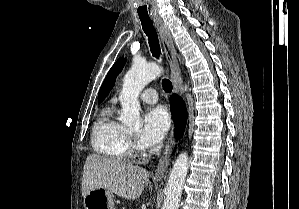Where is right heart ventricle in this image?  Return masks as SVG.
I'll list each match as a JSON object with an SVG mask.
<instances>
[{"mask_svg": "<svg viewBox=\"0 0 299 209\" xmlns=\"http://www.w3.org/2000/svg\"><path fill=\"white\" fill-rule=\"evenodd\" d=\"M92 146L96 152L111 159L123 160L129 155V139L126 129L111 112L99 118L93 128Z\"/></svg>", "mask_w": 299, "mask_h": 209, "instance_id": "e07e8e85", "label": "right heart ventricle"}]
</instances>
